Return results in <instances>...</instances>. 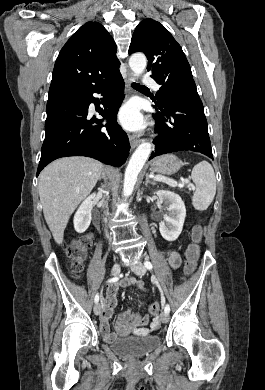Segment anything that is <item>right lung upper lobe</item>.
<instances>
[{
	"mask_svg": "<svg viewBox=\"0 0 265 390\" xmlns=\"http://www.w3.org/2000/svg\"><path fill=\"white\" fill-rule=\"evenodd\" d=\"M117 47L98 22H87L66 42L55 62L48 100L80 94L119 73Z\"/></svg>",
	"mask_w": 265,
	"mask_h": 390,
	"instance_id": "obj_1",
	"label": "right lung upper lobe"
}]
</instances>
